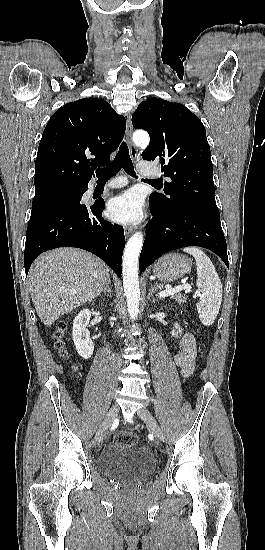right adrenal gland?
I'll list each match as a JSON object with an SVG mask.
<instances>
[{
    "instance_id": "2a0ac1e0",
    "label": "right adrenal gland",
    "mask_w": 265,
    "mask_h": 550,
    "mask_svg": "<svg viewBox=\"0 0 265 550\" xmlns=\"http://www.w3.org/2000/svg\"><path fill=\"white\" fill-rule=\"evenodd\" d=\"M110 282L107 283V285L105 286V288L103 289V293H111V289H110V286H109Z\"/></svg>"
}]
</instances>
